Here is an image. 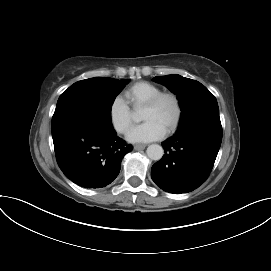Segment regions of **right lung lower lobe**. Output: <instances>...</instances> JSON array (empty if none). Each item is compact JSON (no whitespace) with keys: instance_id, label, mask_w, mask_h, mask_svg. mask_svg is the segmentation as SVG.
Masks as SVG:
<instances>
[{"instance_id":"1","label":"right lung lower lobe","mask_w":271,"mask_h":271,"mask_svg":"<svg viewBox=\"0 0 271 271\" xmlns=\"http://www.w3.org/2000/svg\"><path fill=\"white\" fill-rule=\"evenodd\" d=\"M57 163L74 183L101 188L119 174L121 160L133 147L98 119L66 125L52 132Z\"/></svg>"}]
</instances>
